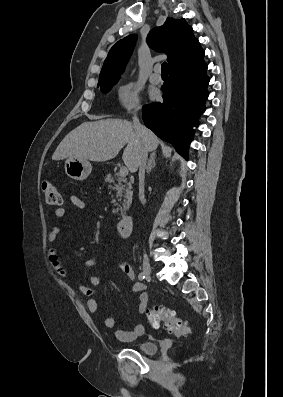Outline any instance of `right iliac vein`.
I'll return each instance as SVG.
<instances>
[{"label": "right iliac vein", "mask_w": 283, "mask_h": 397, "mask_svg": "<svg viewBox=\"0 0 283 397\" xmlns=\"http://www.w3.org/2000/svg\"><path fill=\"white\" fill-rule=\"evenodd\" d=\"M143 273L148 278L151 276V266L149 259L146 255L143 258Z\"/></svg>", "instance_id": "63e3f726"}]
</instances>
